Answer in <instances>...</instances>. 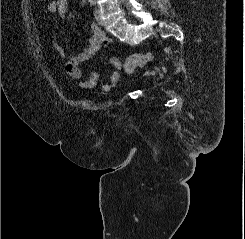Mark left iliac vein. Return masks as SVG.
Returning <instances> with one entry per match:
<instances>
[{
	"instance_id": "obj_1",
	"label": "left iliac vein",
	"mask_w": 245,
	"mask_h": 239,
	"mask_svg": "<svg viewBox=\"0 0 245 239\" xmlns=\"http://www.w3.org/2000/svg\"><path fill=\"white\" fill-rule=\"evenodd\" d=\"M95 18H96V21L98 22L99 25H103V19H102V16H101V12L98 8H96L95 10Z\"/></svg>"
}]
</instances>
